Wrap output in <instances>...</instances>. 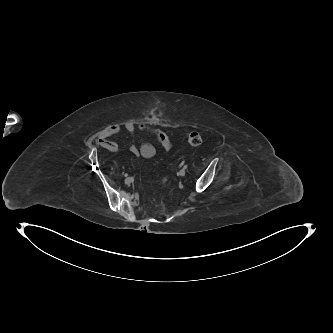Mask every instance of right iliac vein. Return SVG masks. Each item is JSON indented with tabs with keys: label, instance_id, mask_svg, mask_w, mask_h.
Instances as JSON below:
<instances>
[{
	"label": "right iliac vein",
	"instance_id": "right-iliac-vein-1",
	"mask_svg": "<svg viewBox=\"0 0 333 333\" xmlns=\"http://www.w3.org/2000/svg\"><path fill=\"white\" fill-rule=\"evenodd\" d=\"M126 181H128L127 185H130V183L133 181V179L131 177L126 178Z\"/></svg>",
	"mask_w": 333,
	"mask_h": 333
}]
</instances>
